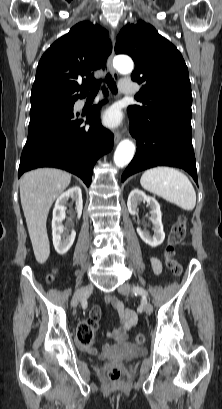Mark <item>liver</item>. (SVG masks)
Wrapping results in <instances>:
<instances>
[{
  "mask_svg": "<svg viewBox=\"0 0 222 409\" xmlns=\"http://www.w3.org/2000/svg\"><path fill=\"white\" fill-rule=\"evenodd\" d=\"M71 181V175L54 168H39L20 179V199L35 258L44 264L49 258L50 244L46 222L55 199Z\"/></svg>",
  "mask_w": 222,
  "mask_h": 409,
  "instance_id": "obj_1",
  "label": "liver"
}]
</instances>
